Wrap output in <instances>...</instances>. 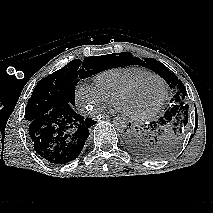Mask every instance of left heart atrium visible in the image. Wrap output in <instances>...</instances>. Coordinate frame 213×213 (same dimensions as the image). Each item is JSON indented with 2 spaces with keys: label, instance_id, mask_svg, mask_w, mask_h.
I'll use <instances>...</instances> for the list:
<instances>
[{
  "label": "left heart atrium",
  "instance_id": "obj_1",
  "mask_svg": "<svg viewBox=\"0 0 213 213\" xmlns=\"http://www.w3.org/2000/svg\"><path fill=\"white\" fill-rule=\"evenodd\" d=\"M114 109L117 110V111H119V112H122L124 114L126 113L124 111V109L120 105H118L117 103L114 104Z\"/></svg>",
  "mask_w": 213,
  "mask_h": 213
}]
</instances>
